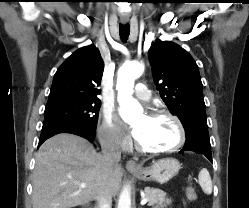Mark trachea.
I'll return each mask as SVG.
<instances>
[{
  "label": "trachea",
  "mask_w": 249,
  "mask_h": 208,
  "mask_svg": "<svg viewBox=\"0 0 249 208\" xmlns=\"http://www.w3.org/2000/svg\"><path fill=\"white\" fill-rule=\"evenodd\" d=\"M119 33H120V37L123 41H126L129 37L130 34V26L129 24L126 25H119Z\"/></svg>",
  "instance_id": "trachea-1"
}]
</instances>
